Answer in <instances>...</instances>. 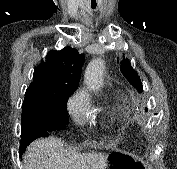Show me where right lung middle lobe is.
<instances>
[{
    "mask_svg": "<svg viewBox=\"0 0 177 169\" xmlns=\"http://www.w3.org/2000/svg\"><path fill=\"white\" fill-rule=\"evenodd\" d=\"M67 98L54 102H23L22 125L46 130L64 129L68 123Z\"/></svg>",
    "mask_w": 177,
    "mask_h": 169,
    "instance_id": "dd1d6c3e",
    "label": "right lung middle lobe"
}]
</instances>
